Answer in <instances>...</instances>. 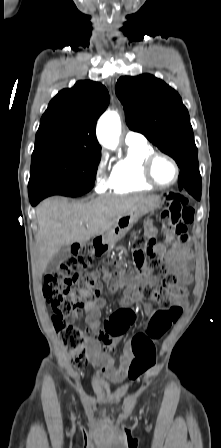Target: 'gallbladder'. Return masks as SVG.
Returning <instances> with one entry per match:
<instances>
[{
	"label": "gallbladder",
	"instance_id": "bac80fb5",
	"mask_svg": "<svg viewBox=\"0 0 221 448\" xmlns=\"http://www.w3.org/2000/svg\"><path fill=\"white\" fill-rule=\"evenodd\" d=\"M71 255L70 245H64L60 250L53 256L47 265V271L51 272L56 270L59 265L66 261Z\"/></svg>",
	"mask_w": 221,
	"mask_h": 448
}]
</instances>
